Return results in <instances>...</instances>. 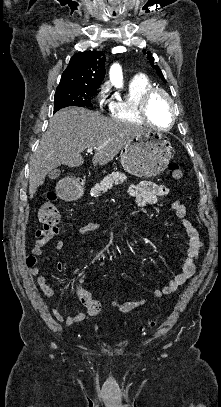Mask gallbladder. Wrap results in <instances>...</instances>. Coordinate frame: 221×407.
Wrapping results in <instances>:
<instances>
[{"mask_svg": "<svg viewBox=\"0 0 221 407\" xmlns=\"http://www.w3.org/2000/svg\"><path fill=\"white\" fill-rule=\"evenodd\" d=\"M60 175V170L59 169H53L51 172H49L48 177L50 179H56Z\"/></svg>", "mask_w": 221, "mask_h": 407, "instance_id": "gallbladder-1", "label": "gallbladder"}]
</instances>
